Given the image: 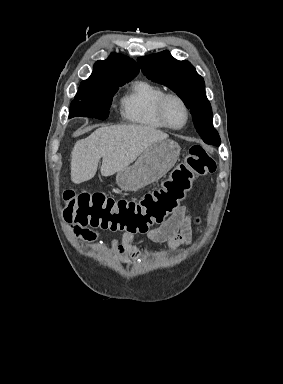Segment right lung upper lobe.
<instances>
[{
	"mask_svg": "<svg viewBox=\"0 0 283 384\" xmlns=\"http://www.w3.org/2000/svg\"><path fill=\"white\" fill-rule=\"evenodd\" d=\"M139 72L137 63L121 54L112 53L106 60L94 64L90 77L81 82L79 89L109 83L129 82Z\"/></svg>",
	"mask_w": 283,
	"mask_h": 384,
	"instance_id": "cb5924a9",
	"label": "right lung upper lobe"
}]
</instances>
